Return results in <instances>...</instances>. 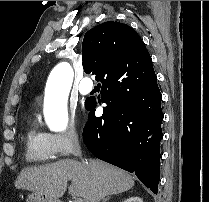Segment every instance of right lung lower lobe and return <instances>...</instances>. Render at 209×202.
<instances>
[{"label": "right lung lower lobe", "instance_id": "obj_1", "mask_svg": "<svg viewBox=\"0 0 209 202\" xmlns=\"http://www.w3.org/2000/svg\"><path fill=\"white\" fill-rule=\"evenodd\" d=\"M147 74L119 87L102 86L101 97H88L90 110L83 141L97 158L133 172L157 194L160 180L161 93L152 66ZM105 103L103 115L95 107Z\"/></svg>", "mask_w": 209, "mask_h": 202}]
</instances>
